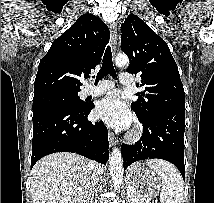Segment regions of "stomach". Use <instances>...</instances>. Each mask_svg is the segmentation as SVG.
I'll return each instance as SVG.
<instances>
[{"mask_svg":"<svg viewBox=\"0 0 214 203\" xmlns=\"http://www.w3.org/2000/svg\"><path fill=\"white\" fill-rule=\"evenodd\" d=\"M127 178L135 194L142 199L153 198L161 192V176L142 162H137L129 168Z\"/></svg>","mask_w":214,"mask_h":203,"instance_id":"obj_1","label":"stomach"}]
</instances>
